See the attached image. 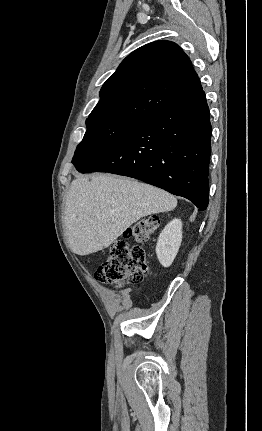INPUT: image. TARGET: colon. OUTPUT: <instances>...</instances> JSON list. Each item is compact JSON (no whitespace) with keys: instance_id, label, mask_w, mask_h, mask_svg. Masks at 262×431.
Returning a JSON list of instances; mask_svg holds the SVG:
<instances>
[{"instance_id":"obj_1","label":"colon","mask_w":262,"mask_h":431,"mask_svg":"<svg viewBox=\"0 0 262 431\" xmlns=\"http://www.w3.org/2000/svg\"><path fill=\"white\" fill-rule=\"evenodd\" d=\"M159 224V217L153 215L127 230L124 239L117 240L112 245L107 258L97 268L96 280L115 287L140 283L149 274L150 267L147 253L139 244L150 241Z\"/></svg>"}]
</instances>
